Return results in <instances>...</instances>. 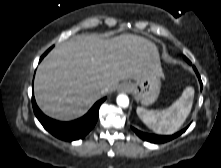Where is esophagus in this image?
Segmentation results:
<instances>
[{
  "mask_svg": "<svg viewBox=\"0 0 221 168\" xmlns=\"http://www.w3.org/2000/svg\"><path fill=\"white\" fill-rule=\"evenodd\" d=\"M120 91L128 92V91H130V86L128 84H124L120 87Z\"/></svg>",
  "mask_w": 221,
  "mask_h": 168,
  "instance_id": "esophagus-1",
  "label": "esophagus"
}]
</instances>
